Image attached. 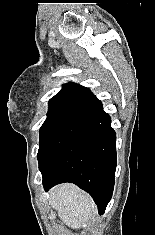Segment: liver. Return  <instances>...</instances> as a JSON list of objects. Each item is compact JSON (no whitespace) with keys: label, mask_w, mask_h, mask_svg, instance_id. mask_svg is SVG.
I'll list each match as a JSON object with an SVG mask.
<instances>
[{"label":"liver","mask_w":155,"mask_h":235,"mask_svg":"<svg viewBox=\"0 0 155 235\" xmlns=\"http://www.w3.org/2000/svg\"><path fill=\"white\" fill-rule=\"evenodd\" d=\"M50 205L59 218L72 229H78L88 222L94 213L92 198L74 184H61L50 191Z\"/></svg>","instance_id":"liver-1"}]
</instances>
